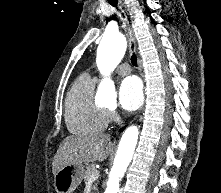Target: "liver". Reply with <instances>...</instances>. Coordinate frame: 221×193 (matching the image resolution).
<instances>
[{"mask_svg": "<svg viewBox=\"0 0 221 193\" xmlns=\"http://www.w3.org/2000/svg\"><path fill=\"white\" fill-rule=\"evenodd\" d=\"M112 152L109 134L95 133L89 135H73L65 138L60 144L53 162L52 172L67 165L88 164L105 160Z\"/></svg>", "mask_w": 221, "mask_h": 193, "instance_id": "liver-1", "label": "liver"}]
</instances>
